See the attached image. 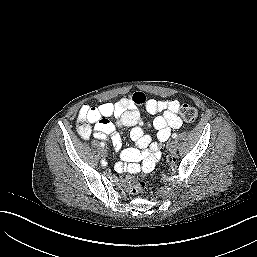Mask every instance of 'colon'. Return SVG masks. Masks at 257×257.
I'll use <instances>...</instances> for the list:
<instances>
[{
    "label": "colon",
    "instance_id": "colon-1",
    "mask_svg": "<svg viewBox=\"0 0 257 257\" xmlns=\"http://www.w3.org/2000/svg\"><path fill=\"white\" fill-rule=\"evenodd\" d=\"M181 117L186 123H193L198 118V111L195 107L186 105L181 109ZM124 187L133 195H141L145 190V183L138 181L129 174H124L123 178Z\"/></svg>",
    "mask_w": 257,
    "mask_h": 257
}]
</instances>
